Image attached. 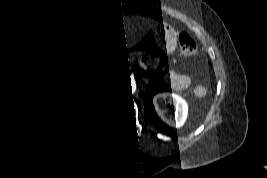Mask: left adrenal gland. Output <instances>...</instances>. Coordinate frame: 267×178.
I'll return each instance as SVG.
<instances>
[{"label":"left adrenal gland","mask_w":267,"mask_h":178,"mask_svg":"<svg viewBox=\"0 0 267 178\" xmlns=\"http://www.w3.org/2000/svg\"><path fill=\"white\" fill-rule=\"evenodd\" d=\"M151 80H155V79L154 78L153 79H151V78H145L144 79L145 85H148L149 81H151Z\"/></svg>","instance_id":"left-adrenal-gland-1"}]
</instances>
